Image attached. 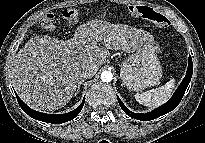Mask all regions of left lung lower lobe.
<instances>
[{
	"mask_svg": "<svg viewBox=\"0 0 205 143\" xmlns=\"http://www.w3.org/2000/svg\"><path fill=\"white\" fill-rule=\"evenodd\" d=\"M192 72H193L192 58L191 56H189V65H188L187 73L182 83L179 85L178 89L176 90V92L173 94L172 98L168 102H166L164 105L160 106L159 108L153 110L152 112H148L146 114L133 113L129 109H127L125 105L122 103V101L120 100V98L117 97L119 105L122 108V110L128 116L132 118H135L141 121H150V120L156 119L172 111L178 106L191 80Z\"/></svg>",
	"mask_w": 205,
	"mask_h": 143,
	"instance_id": "1",
	"label": "left lung lower lobe"
}]
</instances>
